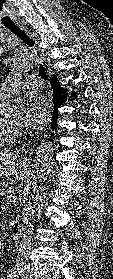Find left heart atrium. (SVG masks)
<instances>
[{
	"label": "left heart atrium",
	"mask_w": 113,
	"mask_h": 279,
	"mask_svg": "<svg viewBox=\"0 0 113 279\" xmlns=\"http://www.w3.org/2000/svg\"><path fill=\"white\" fill-rule=\"evenodd\" d=\"M51 117V103L43 96H35L31 99L24 117L25 125L33 130L44 128Z\"/></svg>",
	"instance_id": "left-heart-atrium-1"
}]
</instances>
